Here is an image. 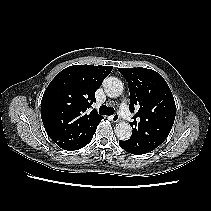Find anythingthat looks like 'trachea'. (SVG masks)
Returning <instances> with one entry per match:
<instances>
[{"mask_svg":"<svg viewBox=\"0 0 211 211\" xmlns=\"http://www.w3.org/2000/svg\"><path fill=\"white\" fill-rule=\"evenodd\" d=\"M115 110L112 107H107L105 105H102L99 108V114L100 115H113Z\"/></svg>","mask_w":211,"mask_h":211,"instance_id":"1","label":"trachea"}]
</instances>
